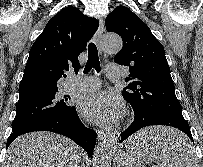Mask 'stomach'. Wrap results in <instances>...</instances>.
Listing matches in <instances>:
<instances>
[{
    "label": "stomach",
    "mask_w": 203,
    "mask_h": 167,
    "mask_svg": "<svg viewBox=\"0 0 203 167\" xmlns=\"http://www.w3.org/2000/svg\"><path fill=\"white\" fill-rule=\"evenodd\" d=\"M152 129H157V128H152ZM142 131H145V133H147L148 129H145ZM152 138L153 137L148 136L145 140H150ZM134 145L135 144L133 142L127 143L126 152L121 154L118 157V163H119L118 167H136L141 162V160L138 159L135 155Z\"/></svg>",
    "instance_id": "stomach-1"
}]
</instances>
